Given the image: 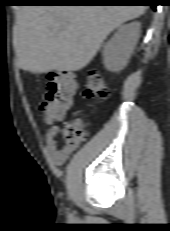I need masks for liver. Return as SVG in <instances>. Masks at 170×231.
Here are the masks:
<instances>
[{
  "label": "liver",
  "instance_id": "obj_1",
  "mask_svg": "<svg viewBox=\"0 0 170 231\" xmlns=\"http://www.w3.org/2000/svg\"><path fill=\"white\" fill-rule=\"evenodd\" d=\"M145 11L141 5L23 6L14 31L18 66L38 74L81 70L114 29Z\"/></svg>",
  "mask_w": 170,
  "mask_h": 231
}]
</instances>
